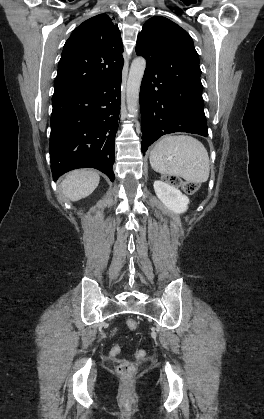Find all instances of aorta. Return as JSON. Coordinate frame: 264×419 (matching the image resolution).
<instances>
[{
    "mask_svg": "<svg viewBox=\"0 0 264 419\" xmlns=\"http://www.w3.org/2000/svg\"><path fill=\"white\" fill-rule=\"evenodd\" d=\"M146 68V60L143 57H137L133 60L126 89V102L129 115L132 118L138 116L140 85Z\"/></svg>",
    "mask_w": 264,
    "mask_h": 419,
    "instance_id": "1",
    "label": "aorta"
}]
</instances>
